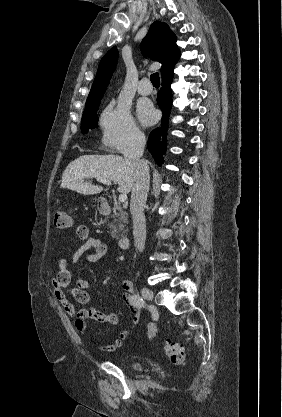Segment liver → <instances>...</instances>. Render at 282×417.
<instances>
[{
    "label": "liver",
    "instance_id": "1",
    "mask_svg": "<svg viewBox=\"0 0 282 417\" xmlns=\"http://www.w3.org/2000/svg\"><path fill=\"white\" fill-rule=\"evenodd\" d=\"M85 178H107L115 180L119 192H130L134 184V168L118 154H83L66 166L60 186L76 190L80 194H97L103 186L85 182Z\"/></svg>",
    "mask_w": 282,
    "mask_h": 417
}]
</instances>
